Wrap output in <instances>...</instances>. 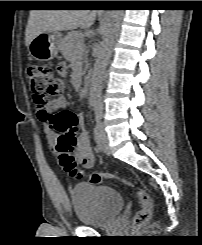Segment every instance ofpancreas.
Here are the masks:
<instances>
[{
  "mask_svg": "<svg viewBox=\"0 0 202 245\" xmlns=\"http://www.w3.org/2000/svg\"><path fill=\"white\" fill-rule=\"evenodd\" d=\"M60 51L64 58L74 65L76 60H82L84 41L79 32H70L61 42Z\"/></svg>",
  "mask_w": 202,
  "mask_h": 245,
  "instance_id": "cf45deb5",
  "label": "pancreas"
}]
</instances>
